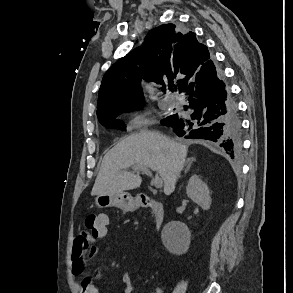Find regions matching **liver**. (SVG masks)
<instances>
[{"mask_svg":"<svg viewBox=\"0 0 293 293\" xmlns=\"http://www.w3.org/2000/svg\"><path fill=\"white\" fill-rule=\"evenodd\" d=\"M188 147L157 132L142 131L117 143L104 156L91 195H114L140 186L141 177L127 169L150 168L164 182V193L171 194L186 162Z\"/></svg>","mask_w":293,"mask_h":293,"instance_id":"liver-1","label":"liver"}]
</instances>
